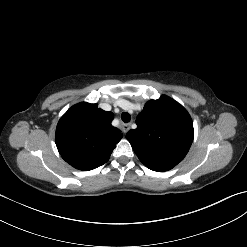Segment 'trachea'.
Returning a JSON list of instances; mask_svg holds the SVG:
<instances>
[{
  "instance_id": "3493384b",
  "label": "trachea",
  "mask_w": 247,
  "mask_h": 247,
  "mask_svg": "<svg viewBox=\"0 0 247 247\" xmlns=\"http://www.w3.org/2000/svg\"><path fill=\"white\" fill-rule=\"evenodd\" d=\"M121 119L123 120V122L128 123L131 120V116L129 113L123 112L121 114Z\"/></svg>"
}]
</instances>
